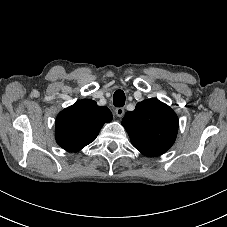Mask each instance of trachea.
<instances>
[{"label":"trachea","mask_w":227,"mask_h":227,"mask_svg":"<svg viewBox=\"0 0 227 227\" xmlns=\"http://www.w3.org/2000/svg\"><path fill=\"white\" fill-rule=\"evenodd\" d=\"M115 107H123L125 105V94L122 90H117L113 95Z\"/></svg>","instance_id":"obj_1"}]
</instances>
